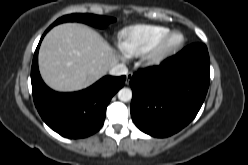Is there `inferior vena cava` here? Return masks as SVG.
<instances>
[{
  "label": "inferior vena cava",
  "instance_id": "obj_1",
  "mask_svg": "<svg viewBox=\"0 0 248 165\" xmlns=\"http://www.w3.org/2000/svg\"><path fill=\"white\" fill-rule=\"evenodd\" d=\"M128 73V69L124 64L114 65L110 70L109 74L113 76H121L126 75Z\"/></svg>",
  "mask_w": 248,
  "mask_h": 165
}]
</instances>
